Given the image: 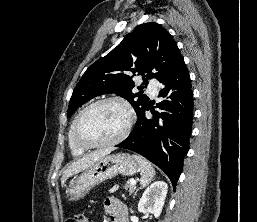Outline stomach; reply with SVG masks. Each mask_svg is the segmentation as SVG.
Returning a JSON list of instances; mask_svg holds the SVG:
<instances>
[{
	"mask_svg": "<svg viewBox=\"0 0 257 222\" xmlns=\"http://www.w3.org/2000/svg\"><path fill=\"white\" fill-rule=\"evenodd\" d=\"M139 169L136 159L128 153L106 155L76 177L66 189V195L69 201H77L94 186L118 174L132 176Z\"/></svg>",
	"mask_w": 257,
	"mask_h": 222,
	"instance_id": "0dacf381",
	"label": "stomach"
}]
</instances>
